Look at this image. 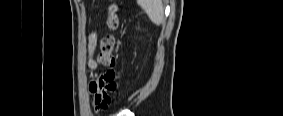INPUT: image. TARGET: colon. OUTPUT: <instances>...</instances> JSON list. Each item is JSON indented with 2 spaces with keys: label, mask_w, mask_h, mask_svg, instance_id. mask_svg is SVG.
<instances>
[{
  "label": "colon",
  "mask_w": 283,
  "mask_h": 116,
  "mask_svg": "<svg viewBox=\"0 0 283 116\" xmlns=\"http://www.w3.org/2000/svg\"><path fill=\"white\" fill-rule=\"evenodd\" d=\"M118 24L117 6L115 3H111L108 7L107 27L110 30H116ZM115 47L116 38L113 34H107L101 39L98 59L103 66L108 68V70L101 76V79L109 83L110 90H115L119 86V74L116 70V58L114 56ZM111 103L112 99L108 98L103 102L96 103L94 107L97 111L106 110Z\"/></svg>",
  "instance_id": "5ec220e1"
}]
</instances>
